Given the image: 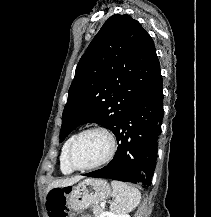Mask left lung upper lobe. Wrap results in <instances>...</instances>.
Wrapping results in <instances>:
<instances>
[{
	"label": "left lung upper lobe",
	"mask_w": 211,
	"mask_h": 217,
	"mask_svg": "<svg viewBox=\"0 0 211 217\" xmlns=\"http://www.w3.org/2000/svg\"><path fill=\"white\" fill-rule=\"evenodd\" d=\"M160 72L154 42L140 23L127 14L111 16L77 64L60 142L84 123L94 122L113 132Z\"/></svg>",
	"instance_id": "5c2ea615"
}]
</instances>
